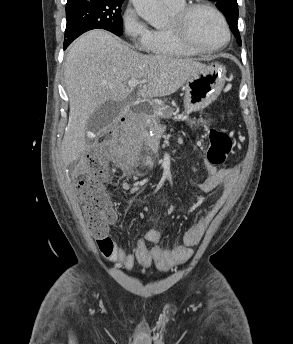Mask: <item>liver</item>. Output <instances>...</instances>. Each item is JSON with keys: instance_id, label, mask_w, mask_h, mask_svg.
<instances>
[{"instance_id": "obj_1", "label": "liver", "mask_w": 293, "mask_h": 344, "mask_svg": "<svg viewBox=\"0 0 293 344\" xmlns=\"http://www.w3.org/2000/svg\"><path fill=\"white\" fill-rule=\"evenodd\" d=\"M204 67L193 59L137 53L104 30L82 35L70 48L64 65L70 113L61 145L63 164L68 166L84 152L87 122L96 109L129 96L128 80L144 81L137 95L149 100L175 93Z\"/></svg>"}]
</instances>
